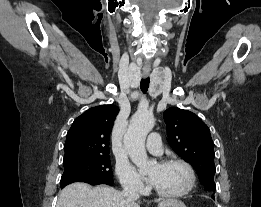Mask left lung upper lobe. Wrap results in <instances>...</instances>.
I'll return each instance as SVG.
<instances>
[{
	"mask_svg": "<svg viewBox=\"0 0 261 207\" xmlns=\"http://www.w3.org/2000/svg\"><path fill=\"white\" fill-rule=\"evenodd\" d=\"M172 149L196 170L206 190L215 191L213 141L208 126L194 113L176 107L163 114Z\"/></svg>",
	"mask_w": 261,
	"mask_h": 207,
	"instance_id": "left-lung-upper-lobe-1",
	"label": "left lung upper lobe"
}]
</instances>
